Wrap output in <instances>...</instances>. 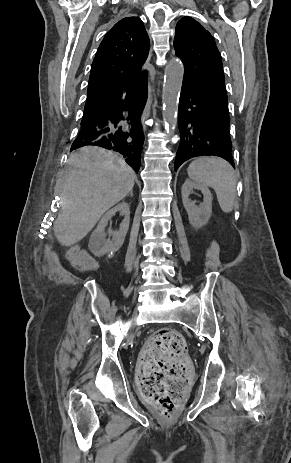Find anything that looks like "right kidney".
Masks as SVG:
<instances>
[{"instance_id":"1","label":"right kidney","mask_w":291,"mask_h":463,"mask_svg":"<svg viewBox=\"0 0 291 463\" xmlns=\"http://www.w3.org/2000/svg\"><path fill=\"white\" fill-rule=\"evenodd\" d=\"M116 212H120L124 216L118 231L108 230V234L112 236V240L106 239L105 228L112 216ZM130 222V207L126 202L116 205L111 210L107 211L98 223L97 228L93 231L90 241L89 249L96 255L102 256L108 252L117 251L124 243Z\"/></svg>"}]
</instances>
